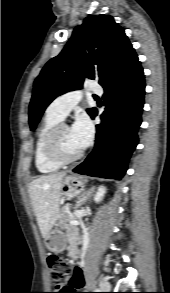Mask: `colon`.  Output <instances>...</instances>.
<instances>
[{"instance_id": "colon-1", "label": "colon", "mask_w": 170, "mask_h": 293, "mask_svg": "<svg viewBox=\"0 0 170 293\" xmlns=\"http://www.w3.org/2000/svg\"><path fill=\"white\" fill-rule=\"evenodd\" d=\"M47 261L51 271V280L54 284V290L51 293H72L66 283L70 274L68 264L58 256H49Z\"/></svg>"}]
</instances>
